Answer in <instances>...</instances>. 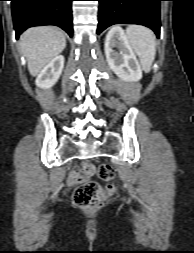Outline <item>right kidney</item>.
I'll use <instances>...</instances> for the list:
<instances>
[{"instance_id":"ca27d5eb","label":"right kidney","mask_w":194,"mask_h":253,"mask_svg":"<svg viewBox=\"0 0 194 253\" xmlns=\"http://www.w3.org/2000/svg\"><path fill=\"white\" fill-rule=\"evenodd\" d=\"M64 67V57L62 55L56 56L36 78V85L40 88L47 89L52 87L59 79Z\"/></svg>"}]
</instances>
